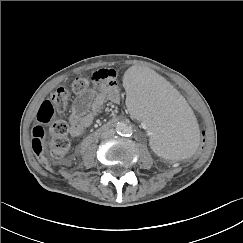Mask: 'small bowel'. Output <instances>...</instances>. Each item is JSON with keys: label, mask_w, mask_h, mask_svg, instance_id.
Wrapping results in <instances>:
<instances>
[{"label": "small bowel", "mask_w": 243, "mask_h": 243, "mask_svg": "<svg viewBox=\"0 0 243 243\" xmlns=\"http://www.w3.org/2000/svg\"><path fill=\"white\" fill-rule=\"evenodd\" d=\"M108 70L113 74L110 83H97L93 80L94 88L79 94L75 99L69 117L70 134L73 137L82 135L101 112L106 102L119 103L120 90L117 85V73L113 69ZM95 74L93 73V75Z\"/></svg>", "instance_id": "small-bowel-1"}]
</instances>
